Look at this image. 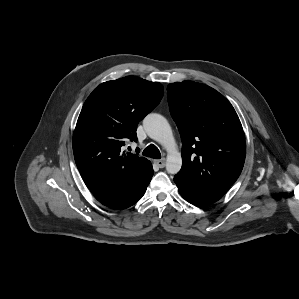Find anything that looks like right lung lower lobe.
<instances>
[{
    "mask_svg": "<svg viewBox=\"0 0 299 299\" xmlns=\"http://www.w3.org/2000/svg\"><path fill=\"white\" fill-rule=\"evenodd\" d=\"M152 175L145 182V184L139 187L125 189V190L116 191L112 193H106V194H97V193H93V194L95 195V197L99 202H101L103 205L107 207L113 209H125L132 206L142 198L152 178Z\"/></svg>",
    "mask_w": 299,
    "mask_h": 299,
    "instance_id": "obj_1",
    "label": "right lung lower lobe"
}]
</instances>
